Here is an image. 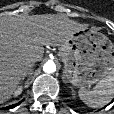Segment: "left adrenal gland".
<instances>
[{
    "instance_id": "obj_1",
    "label": "left adrenal gland",
    "mask_w": 114,
    "mask_h": 114,
    "mask_svg": "<svg viewBox=\"0 0 114 114\" xmlns=\"http://www.w3.org/2000/svg\"><path fill=\"white\" fill-rule=\"evenodd\" d=\"M62 79H63L64 82H66L64 71H63V74H62Z\"/></svg>"
}]
</instances>
